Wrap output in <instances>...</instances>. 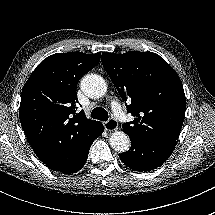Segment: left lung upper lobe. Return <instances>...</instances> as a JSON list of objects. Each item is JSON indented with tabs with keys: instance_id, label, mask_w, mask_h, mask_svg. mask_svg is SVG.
Instances as JSON below:
<instances>
[{
	"instance_id": "left-lung-upper-lobe-1",
	"label": "left lung upper lobe",
	"mask_w": 215,
	"mask_h": 215,
	"mask_svg": "<svg viewBox=\"0 0 215 215\" xmlns=\"http://www.w3.org/2000/svg\"><path fill=\"white\" fill-rule=\"evenodd\" d=\"M102 64L127 112L136 117L122 125L129 137L176 141L185 116L186 98L175 70L153 52L102 53Z\"/></svg>"
}]
</instances>
